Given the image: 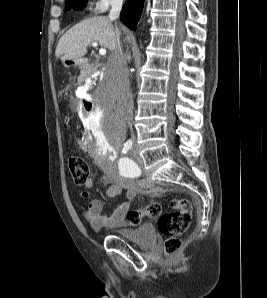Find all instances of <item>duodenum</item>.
Instances as JSON below:
<instances>
[{"label":"duodenum","instance_id":"410a0bca","mask_svg":"<svg viewBox=\"0 0 267 298\" xmlns=\"http://www.w3.org/2000/svg\"><path fill=\"white\" fill-rule=\"evenodd\" d=\"M89 64L87 59H78L75 61L74 65L76 67H85ZM91 98H97V93H90V97H84L80 100V105H83V115H94L93 100Z\"/></svg>","mask_w":267,"mask_h":298}]
</instances>
